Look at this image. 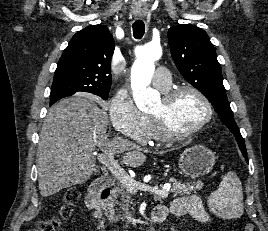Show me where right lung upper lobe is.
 Here are the masks:
<instances>
[{"instance_id":"obj_1","label":"right lung upper lobe","mask_w":268,"mask_h":231,"mask_svg":"<svg viewBox=\"0 0 268 231\" xmlns=\"http://www.w3.org/2000/svg\"><path fill=\"white\" fill-rule=\"evenodd\" d=\"M114 39L104 25H91L77 32L64 50L52 88H63L66 94L50 99V105L76 92L109 93L111 56Z\"/></svg>"}]
</instances>
